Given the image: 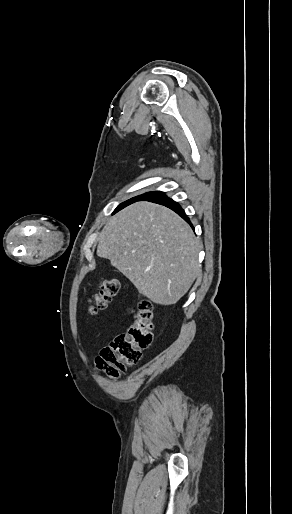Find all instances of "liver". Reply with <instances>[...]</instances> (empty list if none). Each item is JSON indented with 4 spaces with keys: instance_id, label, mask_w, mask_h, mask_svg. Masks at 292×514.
I'll return each instance as SVG.
<instances>
[{
    "instance_id": "liver-1",
    "label": "liver",
    "mask_w": 292,
    "mask_h": 514,
    "mask_svg": "<svg viewBox=\"0 0 292 514\" xmlns=\"http://www.w3.org/2000/svg\"><path fill=\"white\" fill-rule=\"evenodd\" d=\"M199 244L172 210L137 202L112 216L101 232L97 256L110 260L139 294L171 306L187 294L200 272Z\"/></svg>"
}]
</instances>
